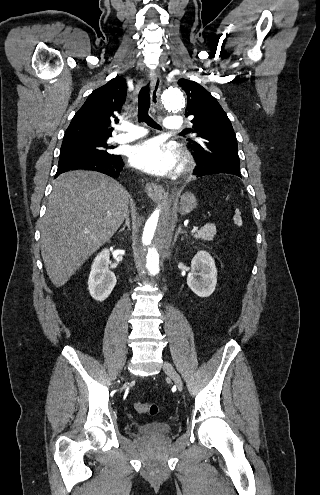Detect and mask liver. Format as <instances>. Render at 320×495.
Returning <instances> with one entry per match:
<instances>
[{"label":"liver","mask_w":320,"mask_h":495,"mask_svg":"<svg viewBox=\"0 0 320 495\" xmlns=\"http://www.w3.org/2000/svg\"><path fill=\"white\" fill-rule=\"evenodd\" d=\"M128 192L96 172L69 171L53 182L41 226V255L51 282L63 286L118 230Z\"/></svg>","instance_id":"6515ba94"}]
</instances>
